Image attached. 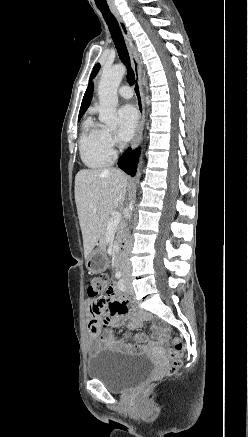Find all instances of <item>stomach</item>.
<instances>
[{"label": "stomach", "mask_w": 248, "mask_h": 437, "mask_svg": "<svg viewBox=\"0 0 248 437\" xmlns=\"http://www.w3.org/2000/svg\"><path fill=\"white\" fill-rule=\"evenodd\" d=\"M86 266L89 272H106L107 257L103 251L95 250L88 255Z\"/></svg>", "instance_id": "0dacf381"}]
</instances>
